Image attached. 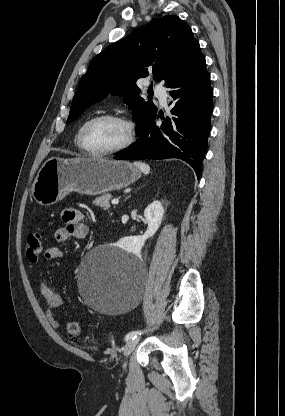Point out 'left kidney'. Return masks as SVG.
Wrapping results in <instances>:
<instances>
[{
    "mask_svg": "<svg viewBox=\"0 0 285 416\" xmlns=\"http://www.w3.org/2000/svg\"><path fill=\"white\" fill-rule=\"evenodd\" d=\"M163 214L164 208L161 202H158V200L152 202V204L147 206L144 210V216L148 224L145 234H143V236H128V238H123L122 244L127 246V248H131V250H137V252H140L146 240H148V238H152V236L156 234L158 228H160Z\"/></svg>",
    "mask_w": 285,
    "mask_h": 416,
    "instance_id": "1",
    "label": "left kidney"
}]
</instances>
